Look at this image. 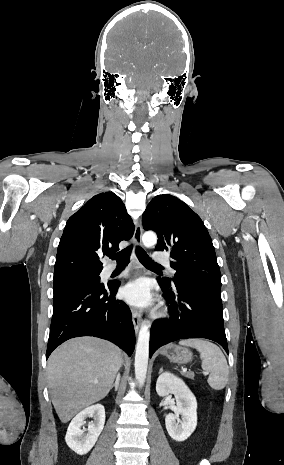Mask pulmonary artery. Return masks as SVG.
<instances>
[{
	"label": "pulmonary artery",
	"mask_w": 284,
	"mask_h": 465,
	"mask_svg": "<svg viewBox=\"0 0 284 465\" xmlns=\"http://www.w3.org/2000/svg\"><path fill=\"white\" fill-rule=\"evenodd\" d=\"M153 261L156 263H168L170 257L168 254H163L161 250H154L152 252ZM113 268H110L109 271H112Z\"/></svg>",
	"instance_id": "obj_1"
}]
</instances>
